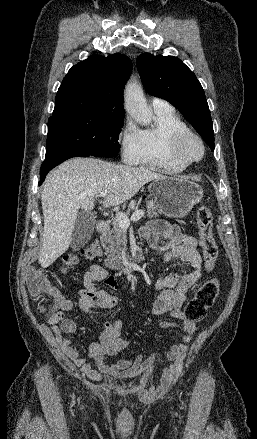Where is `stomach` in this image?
Masks as SVG:
<instances>
[{
    "instance_id": "obj_1",
    "label": "stomach",
    "mask_w": 257,
    "mask_h": 439,
    "mask_svg": "<svg viewBox=\"0 0 257 439\" xmlns=\"http://www.w3.org/2000/svg\"><path fill=\"white\" fill-rule=\"evenodd\" d=\"M149 192L161 212L169 217L181 218L203 198V189L187 177H163L153 180Z\"/></svg>"
}]
</instances>
